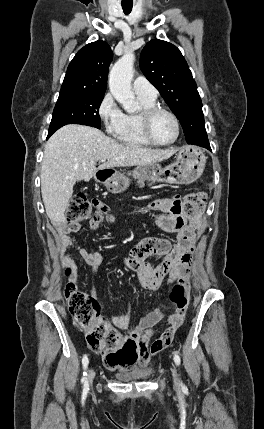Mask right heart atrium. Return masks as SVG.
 Masks as SVG:
<instances>
[{"label": "right heart atrium", "instance_id": "obj_1", "mask_svg": "<svg viewBox=\"0 0 264 429\" xmlns=\"http://www.w3.org/2000/svg\"><path fill=\"white\" fill-rule=\"evenodd\" d=\"M97 114L106 132L115 135L121 126L124 113L111 93H106L102 97L97 107Z\"/></svg>", "mask_w": 264, "mask_h": 429}]
</instances>
